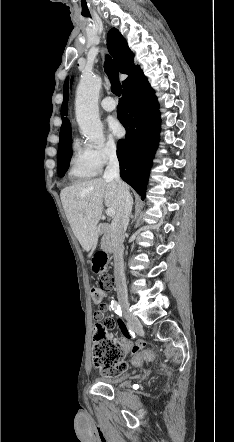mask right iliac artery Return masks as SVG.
Segmentation results:
<instances>
[{
  "instance_id": "obj_1",
  "label": "right iliac artery",
  "mask_w": 234,
  "mask_h": 442,
  "mask_svg": "<svg viewBox=\"0 0 234 442\" xmlns=\"http://www.w3.org/2000/svg\"><path fill=\"white\" fill-rule=\"evenodd\" d=\"M111 309L116 313V314H118L119 316H122V312H121V308H120V305L116 302V301H112L111 302Z\"/></svg>"
}]
</instances>
